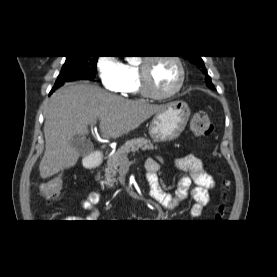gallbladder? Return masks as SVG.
Here are the masks:
<instances>
[{"label": "gallbladder", "instance_id": "gallbladder-1", "mask_svg": "<svg viewBox=\"0 0 277 277\" xmlns=\"http://www.w3.org/2000/svg\"><path fill=\"white\" fill-rule=\"evenodd\" d=\"M70 145L73 146L81 156H87L94 150L93 144L90 140L74 136L70 140Z\"/></svg>", "mask_w": 277, "mask_h": 277}]
</instances>
